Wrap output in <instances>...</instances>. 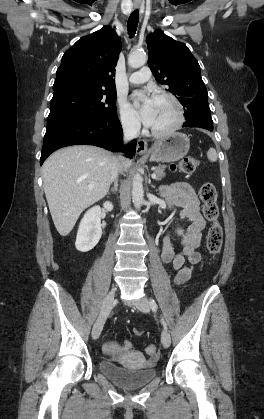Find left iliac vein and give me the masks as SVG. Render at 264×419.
I'll list each match as a JSON object with an SVG mask.
<instances>
[{"mask_svg": "<svg viewBox=\"0 0 264 419\" xmlns=\"http://www.w3.org/2000/svg\"><path fill=\"white\" fill-rule=\"evenodd\" d=\"M136 307L142 312H149L151 305L146 297H143L137 304ZM161 342L165 348H168L171 344V337L169 332L165 329L161 334Z\"/></svg>", "mask_w": 264, "mask_h": 419, "instance_id": "1", "label": "left iliac vein"}]
</instances>
